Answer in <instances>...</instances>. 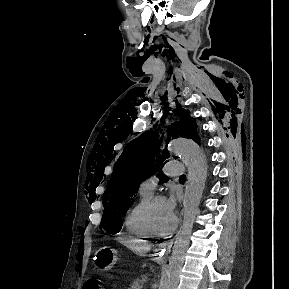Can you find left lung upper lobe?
<instances>
[{"mask_svg": "<svg viewBox=\"0 0 289 289\" xmlns=\"http://www.w3.org/2000/svg\"><path fill=\"white\" fill-rule=\"evenodd\" d=\"M178 112V110H177ZM189 112L179 111L180 122L168 128V139L187 137L200 144L196 123ZM163 135L155 130L132 140L126 145L117 160L109 185L103 195L104 212L100 227L106 233H118L122 228V218L133 204V195L138 185L155 174L169 156L161 148Z\"/></svg>", "mask_w": 289, "mask_h": 289, "instance_id": "1", "label": "left lung upper lobe"}]
</instances>
